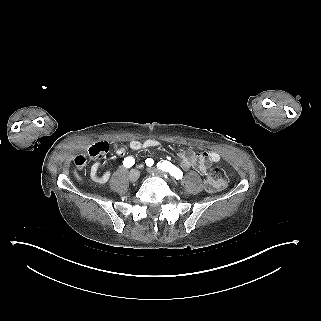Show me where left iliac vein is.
<instances>
[{"label": "left iliac vein", "instance_id": "obj_1", "mask_svg": "<svg viewBox=\"0 0 321 321\" xmlns=\"http://www.w3.org/2000/svg\"><path fill=\"white\" fill-rule=\"evenodd\" d=\"M148 172L152 175H157V176H166V173L157 169V168H148Z\"/></svg>", "mask_w": 321, "mask_h": 321}]
</instances>
